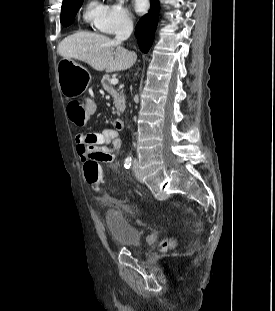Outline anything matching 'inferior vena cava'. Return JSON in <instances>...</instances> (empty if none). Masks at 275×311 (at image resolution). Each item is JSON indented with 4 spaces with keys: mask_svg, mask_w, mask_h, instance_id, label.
<instances>
[{
    "mask_svg": "<svg viewBox=\"0 0 275 311\" xmlns=\"http://www.w3.org/2000/svg\"><path fill=\"white\" fill-rule=\"evenodd\" d=\"M133 31V23L130 20H124L117 28L115 34V42L120 44L128 39Z\"/></svg>",
    "mask_w": 275,
    "mask_h": 311,
    "instance_id": "obj_1",
    "label": "inferior vena cava"
}]
</instances>
